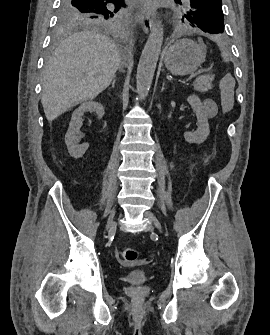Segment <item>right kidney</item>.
Here are the masks:
<instances>
[{
	"label": "right kidney",
	"mask_w": 270,
	"mask_h": 335,
	"mask_svg": "<svg viewBox=\"0 0 270 335\" xmlns=\"http://www.w3.org/2000/svg\"><path fill=\"white\" fill-rule=\"evenodd\" d=\"M84 112H96L98 118H103L104 116V108L98 102H83L77 110H74L68 132L65 136V144L72 158H82L87 148H89V144H80V146L77 144V136H82L79 130L82 126Z\"/></svg>",
	"instance_id": "right-kidney-1"
}]
</instances>
